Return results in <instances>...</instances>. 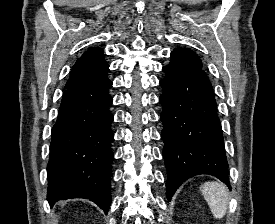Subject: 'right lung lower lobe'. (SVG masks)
<instances>
[{
	"instance_id": "right-lung-lower-lobe-1",
	"label": "right lung lower lobe",
	"mask_w": 275,
	"mask_h": 224,
	"mask_svg": "<svg viewBox=\"0 0 275 224\" xmlns=\"http://www.w3.org/2000/svg\"><path fill=\"white\" fill-rule=\"evenodd\" d=\"M111 87L112 81L106 76L64 91L52 128L47 165V200L51 206L58 200L87 198L107 214L114 158Z\"/></svg>"
}]
</instances>
